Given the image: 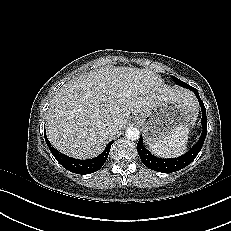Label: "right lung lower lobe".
Masks as SVG:
<instances>
[{"label": "right lung lower lobe", "instance_id": "1", "mask_svg": "<svg viewBox=\"0 0 231 231\" xmlns=\"http://www.w3.org/2000/svg\"><path fill=\"white\" fill-rule=\"evenodd\" d=\"M44 137L47 143V146L49 147V150L55 157V159L67 170L76 173V174H89L98 171L105 161L107 160L111 144L114 141H111L106 149L97 157L87 160H79L74 159L71 157H68L59 151H57L54 147L51 146L50 142L47 139V136L44 132Z\"/></svg>", "mask_w": 231, "mask_h": 231}]
</instances>
